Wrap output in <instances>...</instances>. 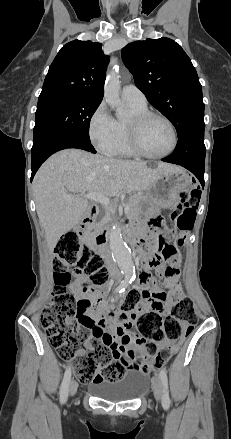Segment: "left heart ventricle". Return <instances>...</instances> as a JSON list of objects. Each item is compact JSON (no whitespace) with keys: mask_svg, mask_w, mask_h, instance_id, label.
I'll list each match as a JSON object with an SVG mask.
<instances>
[{"mask_svg":"<svg viewBox=\"0 0 231 439\" xmlns=\"http://www.w3.org/2000/svg\"><path fill=\"white\" fill-rule=\"evenodd\" d=\"M140 140L144 149L152 154L165 153L173 143L170 127L165 121L156 117L144 123L140 132Z\"/></svg>","mask_w":231,"mask_h":439,"instance_id":"b2bd125f","label":"left heart ventricle"}]
</instances>
